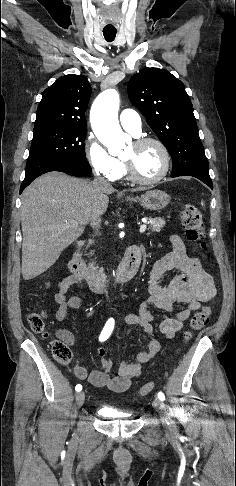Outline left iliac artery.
I'll return each instance as SVG.
<instances>
[{"label":"left iliac artery","mask_w":236,"mask_h":486,"mask_svg":"<svg viewBox=\"0 0 236 486\" xmlns=\"http://www.w3.org/2000/svg\"><path fill=\"white\" fill-rule=\"evenodd\" d=\"M157 396L161 401L165 400V395L162 392H159Z\"/></svg>","instance_id":"left-iliac-artery-1"}]
</instances>
